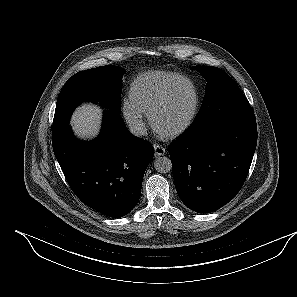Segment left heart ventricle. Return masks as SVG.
Segmentation results:
<instances>
[{"instance_id":"obj_1","label":"left heart ventricle","mask_w":297,"mask_h":297,"mask_svg":"<svg viewBox=\"0 0 297 297\" xmlns=\"http://www.w3.org/2000/svg\"><path fill=\"white\" fill-rule=\"evenodd\" d=\"M193 101L190 84L180 82L174 88L170 100L157 114L156 125L161 131H168L181 124L187 117Z\"/></svg>"}]
</instances>
